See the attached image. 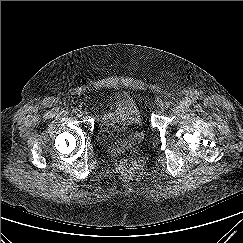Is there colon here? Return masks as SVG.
I'll list each match as a JSON object with an SVG mask.
<instances>
[{"mask_svg": "<svg viewBox=\"0 0 243 243\" xmlns=\"http://www.w3.org/2000/svg\"><path fill=\"white\" fill-rule=\"evenodd\" d=\"M121 169L126 174H133L138 170V164L132 158H125L121 162Z\"/></svg>", "mask_w": 243, "mask_h": 243, "instance_id": "colon-1", "label": "colon"}]
</instances>
